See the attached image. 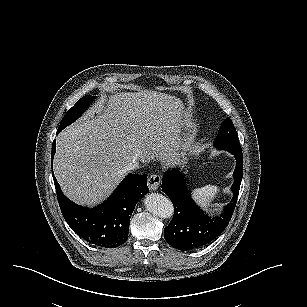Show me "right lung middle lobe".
Returning a JSON list of instances; mask_svg holds the SVG:
<instances>
[{
  "label": "right lung middle lobe",
  "mask_w": 307,
  "mask_h": 307,
  "mask_svg": "<svg viewBox=\"0 0 307 307\" xmlns=\"http://www.w3.org/2000/svg\"><path fill=\"white\" fill-rule=\"evenodd\" d=\"M96 96H84L77 103L69 109V111L63 117L61 124L58 128L57 133L62 131L67 125L74 122L77 118L81 116V114L87 109L90 102H92Z\"/></svg>",
  "instance_id": "obj_1"
}]
</instances>
